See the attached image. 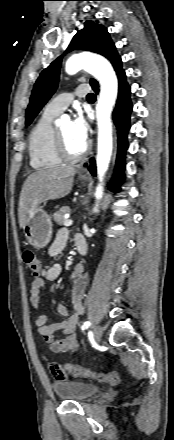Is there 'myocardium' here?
<instances>
[{"instance_id":"myocardium-1","label":"myocardium","mask_w":174,"mask_h":440,"mask_svg":"<svg viewBox=\"0 0 174 440\" xmlns=\"http://www.w3.org/2000/svg\"><path fill=\"white\" fill-rule=\"evenodd\" d=\"M55 137H56V150L57 153L59 155V157L63 160V161H67V162H76L79 161L80 159H82L83 157L86 156V154L89 151V144L86 143L83 150L78 153V154H72L69 152L64 137L61 133V131L59 129L55 130Z\"/></svg>"}]
</instances>
